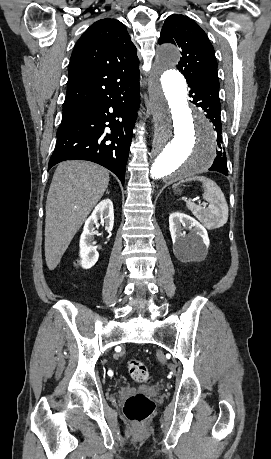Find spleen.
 Segmentation results:
<instances>
[{"label": "spleen", "mask_w": 271, "mask_h": 459, "mask_svg": "<svg viewBox=\"0 0 271 459\" xmlns=\"http://www.w3.org/2000/svg\"><path fill=\"white\" fill-rule=\"evenodd\" d=\"M192 180L193 182H196V180L197 182H202V188H204L203 198L206 202H209V208H201V206H196L193 202H186L188 210H191L192 214L204 224L205 228H221L226 224L229 214L228 204L222 190L213 180L204 178V176H193V178H186L182 182H192Z\"/></svg>", "instance_id": "1"}]
</instances>
